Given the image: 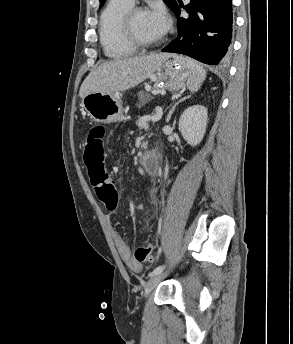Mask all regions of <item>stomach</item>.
<instances>
[{
	"label": "stomach",
	"mask_w": 293,
	"mask_h": 344,
	"mask_svg": "<svg viewBox=\"0 0 293 344\" xmlns=\"http://www.w3.org/2000/svg\"><path fill=\"white\" fill-rule=\"evenodd\" d=\"M192 75L191 68L177 57L164 60L149 76L156 89L177 91ZM82 107L98 123L118 122L123 119L120 93H90L82 99Z\"/></svg>",
	"instance_id": "obj_1"
}]
</instances>
